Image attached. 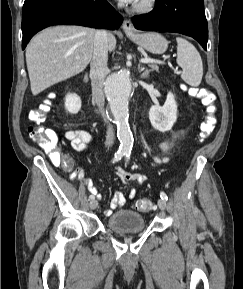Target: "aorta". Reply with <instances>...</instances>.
Segmentation results:
<instances>
[{"mask_svg": "<svg viewBox=\"0 0 243 289\" xmlns=\"http://www.w3.org/2000/svg\"><path fill=\"white\" fill-rule=\"evenodd\" d=\"M131 88L130 72L126 69L111 74L106 79L104 86L110 111L117 125V136L120 141L119 151L123 153L130 152L133 146V135L128 123V101Z\"/></svg>", "mask_w": 243, "mask_h": 289, "instance_id": "762f6f07", "label": "aorta"}]
</instances>
